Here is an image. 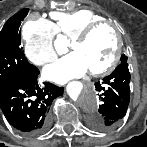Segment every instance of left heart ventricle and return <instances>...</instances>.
Masks as SVG:
<instances>
[{"mask_svg": "<svg viewBox=\"0 0 147 147\" xmlns=\"http://www.w3.org/2000/svg\"><path fill=\"white\" fill-rule=\"evenodd\" d=\"M116 35L109 27L97 29L83 43L71 45L81 55L89 71L100 70L111 61L116 49Z\"/></svg>", "mask_w": 147, "mask_h": 147, "instance_id": "obj_1", "label": "left heart ventricle"}]
</instances>
